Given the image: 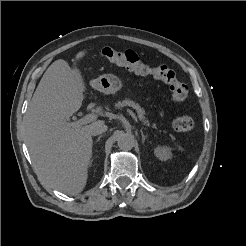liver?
<instances>
[{
	"label": "liver",
	"instance_id": "obj_1",
	"mask_svg": "<svg viewBox=\"0 0 246 246\" xmlns=\"http://www.w3.org/2000/svg\"><path fill=\"white\" fill-rule=\"evenodd\" d=\"M86 53L78 52L76 61ZM85 92L76 62L71 69L65 60H56L40 80L25 117V142L37 175L49 186L71 195L85 188L92 157L93 123L72 126L68 122L82 106Z\"/></svg>",
	"mask_w": 246,
	"mask_h": 246
}]
</instances>
